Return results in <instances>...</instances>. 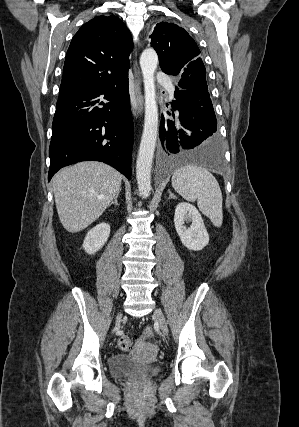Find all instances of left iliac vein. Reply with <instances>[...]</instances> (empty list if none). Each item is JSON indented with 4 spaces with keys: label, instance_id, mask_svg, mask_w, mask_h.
I'll return each instance as SVG.
<instances>
[{
    "label": "left iliac vein",
    "instance_id": "1",
    "mask_svg": "<svg viewBox=\"0 0 299 427\" xmlns=\"http://www.w3.org/2000/svg\"><path fill=\"white\" fill-rule=\"evenodd\" d=\"M154 316L159 323V326H160L162 333L165 336H167L168 335V325H167L166 319L164 317V314L162 313V311L160 309L156 308L154 310Z\"/></svg>",
    "mask_w": 299,
    "mask_h": 427
}]
</instances>
